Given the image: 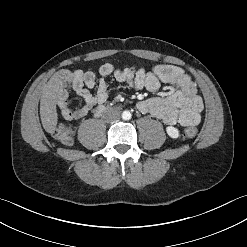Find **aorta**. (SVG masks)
I'll list each match as a JSON object with an SVG mask.
<instances>
[{"mask_svg":"<svg viewBox=\"0 0 247 247\" xmlns=\"http://www.w3.org/2000/svg\"><path fill=\"white\" fill-rule=\"evenodd\" d=\"M131 113H130V111H127V110H125L123 113H122V119L123 120H130L131 119Z\"/></svg>","mask_w":247,"mask_h":247,"instance_id":"obj_1","label":"aorta"}]
</instances>
